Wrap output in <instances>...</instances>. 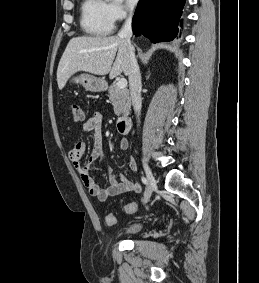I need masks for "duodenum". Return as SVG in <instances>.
Masks as SVG:
<instances>
[{"instance_id":"1","label":"duodenum","mask_w":259,"mask_h":283,"mask_svg":"<svg viewBox=\"0 0 259 283\" xmlns=\"http://www.w3.org/2000/svg\"><path fill=\"white\" fill-rule=\"evenodd\" d=\"M131 117L128 115L122 116L117 120V128L119 133L127 134L131 127Z\"/></svg>"}]
</instances>
